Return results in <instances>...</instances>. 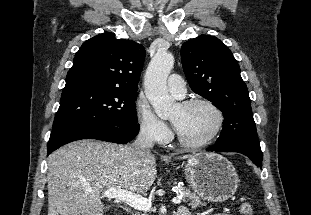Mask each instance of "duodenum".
Wrapping results in <instances>:
<instances>
[{
  "mask_svg": "<svg viewBox=\"0 0 311 215\" xmlns=\"http://www.w3.org/2000/svg\"><path fill=\"white\" fill-rule=\"evenodd\" d=\"M176 215H181V213L178 212Z\"/></svg>",
  "mask_w": 311,
  "mask_h": 215,
  "instance_id": "410a0bca",
  "label": "duodenum"
}]
</instances>
